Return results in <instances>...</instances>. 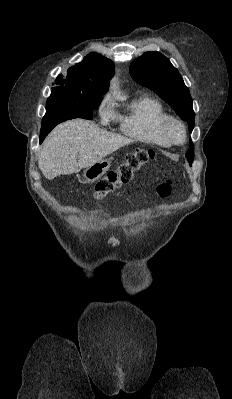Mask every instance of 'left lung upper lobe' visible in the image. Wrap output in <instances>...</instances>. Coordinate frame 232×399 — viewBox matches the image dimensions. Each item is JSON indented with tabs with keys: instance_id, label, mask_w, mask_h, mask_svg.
<instances>
[{
	"instance_id": "5c2ea615",
	"label": "left lung upper lobe",
	"mask_w": 232,
	"mask_h": 399,
	"mask_svg": "<svg viewBox=\"0 0 232 399\" xmlns=\"http://www.w3.org/2000/svg\"><path fill=\"white\" fill-rule=\"evenodd\" d=\"M130 74L136 82L153 90L166 101L192 131L195 119L192 98L180 73L168 58L159 52H146L131 63ZM186 157L192 165L194 145L191 140Z\"/></svg>"
}]
</instances>
